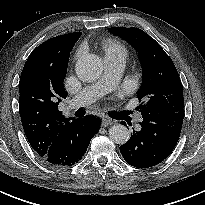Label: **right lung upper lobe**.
Masks as SVG:
<instances>
[{"label": "right lung upper lobe", "mask_w": 205, "mask_h": 205, "mask_svg": "<svg viewBox=\"0 0 205 205\" xmlns=\"http://www.w3.org/2000/svg\"><path fill=\"white\" fill-rule=\"evenodd\" d=\"M81 32L60 35L43 42L28 57L20 77L19 111L25 135L40 156L61 132L65 118L58 104L67 93L63 81L70 51Z\"/></svg>", "instance_id": "1"}]
</instances>
